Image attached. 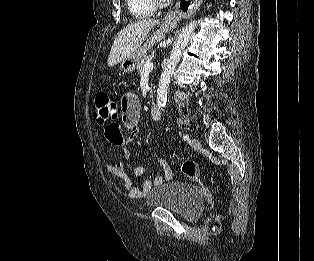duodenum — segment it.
Masks as SVG:
<instances>
[{
	"label": "duodenum",
	"instance_id": "1",
	"mask_svg": "<svg viewBox=\"0 0 314 261\" xmlns=\"http://www.w3.org/2000/svg\"><path fill=\"white\" fill-rule=\"evenodd\" d=\"M150 117L152 120H159L161 117V111L157 104H152L150 107Z\"/></svg>",
	"mask_w": 314,
	"mask_h": 261
}]
</instances>
